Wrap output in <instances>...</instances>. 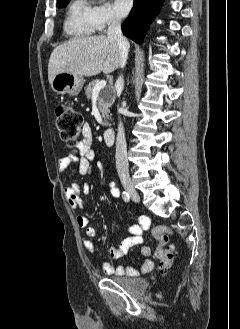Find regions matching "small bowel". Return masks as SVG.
I'll return each mask as SVG.
<instances>
[{
	"instance_id": "obj_1",
	"label": "small bowel",
	"mask_w": 240,
	"mask_h": 329,
	"mask_svg": "<svg viewBox=\"0 0 240 329\" xmlns=\"http://www.w3.org/2000/svg\"><path fill=\"white\" fill-rule=\"evenodd\" d=\"M92 130L89 124H85L82 128V139L76 145L75 150L77 154H68L62 156L58 160V172L61 175L66 174L69 167L76 164L80 175L89 176L92 173L91 163L95 160V152L92 149ZM111 194L114 197L118 196V191L114 185L110 184ZM91 187L88 183L79 184L73 183L65 188V196L69 206L72 209H83L82 195L88 194ZM77 225L85 230L87 239L84 241V250L88 255H91L96 247L94 240L96 236L95 228L89 226V218L87 215L80 214L76 217ZM148 218L142 217L138 224L130 227V236L126 238L119 245L111 246L109 254L114 259L123 258L126 256L130 248L142 243L143 231L148 226ZM140 253L144 257L141 265L138 268L124 265H113L109 262L102 263V269L107 274H113L117 276H138L140 274H146L153 270L154 262L149 258L150 247L142 245Z\"/></svg>"
}]
</instances>
